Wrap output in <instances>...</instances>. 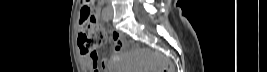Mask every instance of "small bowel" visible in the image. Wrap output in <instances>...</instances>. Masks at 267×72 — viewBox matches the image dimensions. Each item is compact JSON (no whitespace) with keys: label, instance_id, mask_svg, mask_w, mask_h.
Masks as SVG:
<instances>
[{"label":"small bowel","instance_id":"1","mask_svg":"<svg viewBox=\"0 0 267 72\" xmlns=\"http://www.w3.org/2000/svg\"><path fill=\"white\" fill-rule=\"evenodd\" d=\"M112 38L114 42V51L116 55L122 47V38L120 37V35L116 33H113ZM82 61L86 67H89L91 69L92 72H100V71L108 72L106 60L103 59L99 61L97 51H95L92 54H86L82 56Z\"/></svg>","mask_w":267,"mask_h":72}]
</instances>
